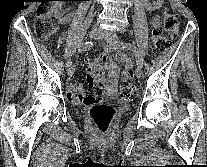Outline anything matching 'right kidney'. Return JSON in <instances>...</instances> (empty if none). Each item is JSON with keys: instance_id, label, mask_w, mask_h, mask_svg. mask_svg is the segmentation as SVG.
<instances>
[{"instance_id": "right-kidney-1", "label": "right kidney", "mask_w": 207, "mask_h": 167, "mask_svg": "<svg viewBox=\"0 0 207 167\" xmlns=\"http://www.w3.org/2000/svg\"><path fill=\"white\" fill-rule=\"evenodd\" d=\"M63 1H55L54 2V14L55 17L61 21V22H65V21H69L71 19V15H66L64 16L62 14V5H63Z\"/></svg>"}]
</instances>
